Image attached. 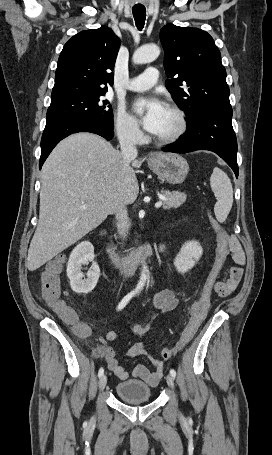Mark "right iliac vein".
<instances>
[{
  "label": "right iliac vein",
  "mask_w": 272,
  "mask_h": 455,
  "mask_svg": "<svg viewBox=\"0 0 272 455\" xmlns=\"http://www.w3.org/2000/svg\"><path fill=\"white\" fill-rule=\"evenodd\" d=\"M106 383H107V376L106 375H102L100 377L99 384H98L99 389L103 390L105 388V386H106Z\"/></svg>",
  "instance_id": "63e3f726"
}]
</instances>
